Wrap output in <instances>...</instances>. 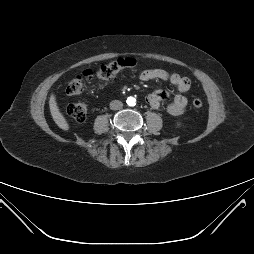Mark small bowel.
Segmentation results:
<instances>
[{"label":"small bowel","mask_w":254,"mask_h":254,"mask_svg":"<svg viewBox=\"0 0 254 254\" xmlns=\"http://www.w3.org/2000/svg\"><path fill=\"white\" fill-rule=\"evenodd\" d=\"M140 80L148 82L151 80L167 81L172 84L181 93L187 92L191 87L189 78L176 73H169L163 69H146L140 73ZM169 97V93L163 90L155 91L149 94L146 98L148 104L158 109L163 101ZM187 106V98L182 94H177L167 106V111L172 115H181L184 113Z\"/></svg>","instance_id":"c3829d8e"}]
</instances>
